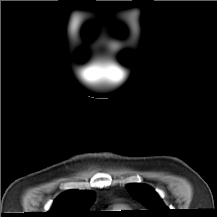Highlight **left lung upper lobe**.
<instances>
[{"instance_id": "left-lung-upper-lobe-1", "label": "left lung upper lobe", "mask_w": 217, "mask_h": 217, "mask_svg": "<svg viewBox=\"0 0 217 217\" xmlns=\"http://www.w3.org/2000/svg\"><path fill=\"white\" fill-rule=\"evenodd\" d=\"M130 195L144 205L150 217H165L170 210L164 205L162 199L151 186L141 183L128 184L126 186Z\"/></svg>"}]
</instances>
